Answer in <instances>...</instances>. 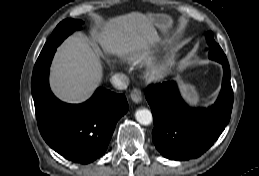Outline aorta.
Here are the masks:
<instances>
[{
	"mask_svg": "<svg viewBox=\"0 0 259 176\" xmlns=\"http://www.w3.org/2000/svg\"><path fill=\"white\" fill-rule=\"evenodd\" d=\"M135 118L142 125H150L153 121L151 111L146 108L138 109Z\"/></svg>",
	"mask_w": 259,
	"mask_h": 176,
	"instance_id": "762f6f07",
	"label": "aorta"
}]
</instances>
